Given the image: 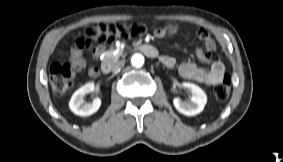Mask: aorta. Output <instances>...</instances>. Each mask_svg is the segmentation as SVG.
Instances as JSON below:
<instances>
[{"mask_svg":"<svg viewBox=\"0 0 283 162\" xmlns=\"http://www.w3.org/2000/svg\"><path fill=\"white\" fill-rule=\"evenodd\" d=\"M131 63L134 67H141L144 64V57L142 54L136 53L132 56Z\"/></svg>","mask_w":283,"mask_h":162,"instance_id":"aorta-1","label":"aorta"}]
</instances>
